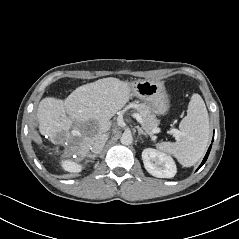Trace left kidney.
<instances>
[{
	"label": "left kidney",
	"instance_id": "obj_1",
	"mask_svg": "<svg viewBox=\"0 0 239 239\" xmlns=\"http://www.w3.org/2000/svg\"><path fill=\"white\" fill-rule=\"evenodd\" d=\"M142 160L145 169L152 176L158 178H172L177 169L174 160L165 153L148 148L142 152Z\"/></svg>",
	"mask_w": 239,
	"mask_h": 239
}]
</instances>
